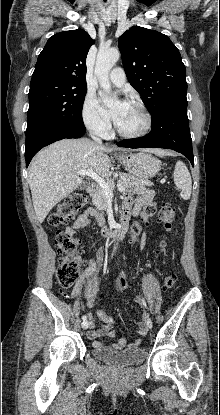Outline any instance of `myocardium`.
Returning <instances> with one entry per match:
<instances>
[{
	"instance_id": "myocardium-1",
	"label": "myocardium",
	"mask_w": 220,
	"mask_h": 415,
	"mask_svg": "<svg viewBox=\"0 0 220 415\" xmlns=\"http://www.w3.org/2000/svg\"><path fill=\"white\" fill-rule=\"evenodd\" d=\"M128 103L131 105H134L135 107H137L138 109L141 110V112L143 113L144 117H145V126L143 127L142 130L137 131V132H125L123 130H121L116 124H115V130L117 132L118 135H120L121 137L124 138H130V139H134V138H140L143 137L145 135H147L153 125V117L151 112L149 111V109L146 107V105L139 101V100H135V99H131L128 100Z\"/></svg>"
}]
</instances>
